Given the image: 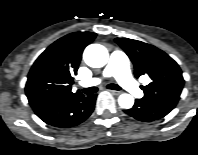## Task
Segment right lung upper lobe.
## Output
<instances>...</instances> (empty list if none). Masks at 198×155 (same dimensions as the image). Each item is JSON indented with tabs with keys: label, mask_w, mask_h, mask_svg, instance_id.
<instances>
[{
	"label": "right lung upper lobe",
	"mask_w": 198,
	"mask_h": 155,
	"mask_svg": "<svg viewBox=\"0 0 198 155\" xmlns=\"http://www.w3.org/2000/svg\"><path fill=\"white\" fill-rule=\"evenodd\" d=\"M96 37L91 32H74L51 44L34 62L25 91L33 110L73 98V76L77 74L82 52Z\"/></svg>",
	"instance_id": "obj_1"
}]
</instances>
